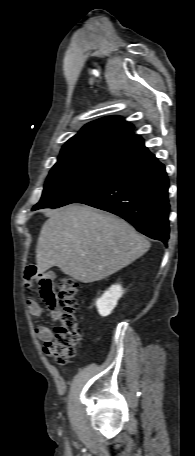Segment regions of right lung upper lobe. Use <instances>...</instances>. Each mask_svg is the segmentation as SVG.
<instances>
[{"label":"right lung upper lobe","mask_w":195,"mask_h":456,"mask_svg":"<svg viewBox=\"0 0 195 456\" xmlns=\"http://www.w3.org/2000/svg\"><path fill=\"white\" fill-rule=\"evenodd\" d=\"M133 128L119 116L90 122L65 143L57 163L89 161L124 169L151 155Z\"/></svg>","instance_id":"right-lung-upper-lobe-1"}]
</instances>
